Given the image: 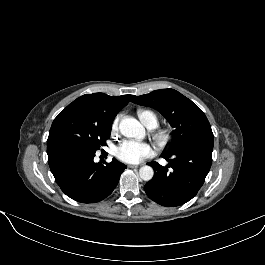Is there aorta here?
Masks as SVG:
<instances>
[{
  "label": "aorta",
  "mask_w": 265,
  "mask_h": 265,
  "mask_svg": "<svg viewBox=\"0 0 265 265\" xmlns=\"http://www.w3.org/2000/svg\"><path fill=\"white\" fill-rule=\"evenodd\" d=\"M119 129L122 135L131 138L142 139L145 136V128L133 117H125L120 121ZM154 171L150 166H143L139 169V176L144 181L153 178Z\"/></svg>",
  "instance_id": "obj_1"
}]
</instances>
